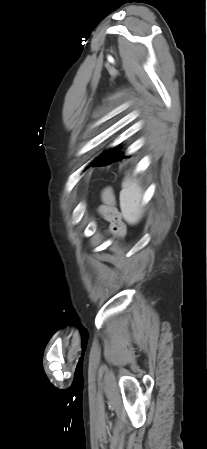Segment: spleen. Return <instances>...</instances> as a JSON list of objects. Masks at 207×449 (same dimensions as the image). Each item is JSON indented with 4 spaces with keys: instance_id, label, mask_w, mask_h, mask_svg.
I'll return each mask as SVG.
<instances>
[{
    "instance_id": "3e777b00",
    "label": "spleen",
    "mask_w": 207,
    "mask_h": 449,
    "mask_svg": "<svg viewBox=\"0 0 207 449\" xmlns=\"http://www.w3.org/2000/svg\"><path fill=\"white\" fill-rule=\"evenodd\" d=\"M143 189L136 180L126 178L120 192V208L124 220L134 225L142 218Z\"/></svg>"
}]
</instances>
